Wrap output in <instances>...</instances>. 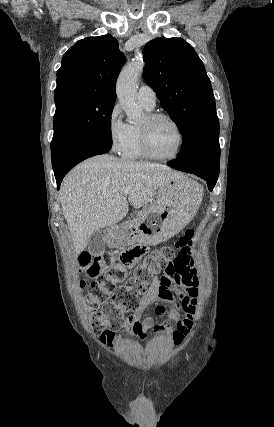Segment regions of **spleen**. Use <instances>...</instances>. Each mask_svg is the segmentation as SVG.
Wrapping results in <instances>:
<instances>
[{
	"instance_id": "obj_1",
	"label": "spleen",
	"mask_w": 274,
	"mask_h": 427,
	"mask_svg": "<svg viewBox=\"0 0 274 427\" xmlns=\"http://www.w3.org/2000/svg\"><path fill=\"white\" fill-rule=\"evenodd\" d=\"M194 184H195V186H197V188H199L197 182H194ZM197 188H195V190H197ZM197 196H198V202L200 204V202L202 200V192H201L200 188H199V192H198ZM199 204H198V208H199Z\"/></svg>"
}]
</instances>
